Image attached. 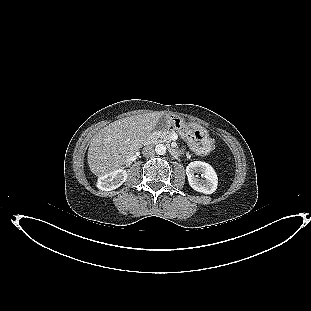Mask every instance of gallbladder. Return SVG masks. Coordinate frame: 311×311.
Listing matches in <instances>:
<instances>
[{
  "instance_id": "1",
  "label": "gallbladder",
  "mask_w": 311,
  "mask_h": 311,
  "mask_svg": "<svg viewBox=\"0 0 311 311\" xmlns=\"http://www.w3.org/2000/svg\"><path fill=\"white\" fill-rule=\"evenodd\" d=\"M167 123V116H162L157 123V127H162Z\"/></svg>"
}]
</instances>
